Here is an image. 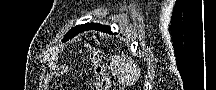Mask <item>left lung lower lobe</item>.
Masks as SVG:
<instances>
[{
    "mask_svg": "<svg viewBox=\"0 0 216 90\" xmlns=\"http://www.w3.org/2000/svg\"><path fill=\"white\" fill-rule=\"evenodd\" d=\"M87 30H100L102 32H106L111 34V30L109 26H104V25H100V24H92L89 28L85 29L84 31Z\"/></svg>",
    "mask_w": 216,
    "mask_h": 90,
    "instance_id": "1",
    "label": "left lung lower lobe"
}]
</instances>
